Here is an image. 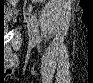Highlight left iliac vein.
I'll list each match as a JSON object with an SVG mask.
<instances>
[{
  "label": "left iliac vein",
  "mask_w": 93,
  "mask_h": 83,
  "mask_svg": "<svg viewBox=\"0 0 93 83\" xmlns=\"http://www.w3.org/2000/svg\"><path fill=\"white\" fill-rule=\"evenodd\" d=\"M26 22H27V28H28V34H29L30 40L33 42L34 41V28H33L32 21L28 19Z\"/></svg>",
  "instance_id": "obj_1"
}]
</instances>
